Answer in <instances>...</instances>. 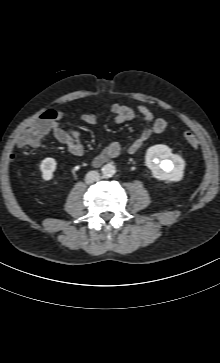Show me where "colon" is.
<instances>
[{
  "instance_id": "1",
  "label": "colon",
  "mask_w": 220,
  "mask_h": 363,
  "mask_svg": "<svg viewBox=\"0 0 220 363\" xmlns=\"http://www.w3.org/2000/svg\"><path fill=\"white\" fill-rule=\"evenodd\" d=\"M57 117V112L52 109L43 111L24 134L27 144L36 145L39 143L42 137L51 129L52 123ZM184 139L192 146L198 144V139L192 132H185Z\"/></svg>"
}]
</instances>
